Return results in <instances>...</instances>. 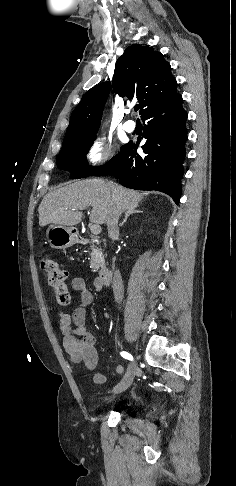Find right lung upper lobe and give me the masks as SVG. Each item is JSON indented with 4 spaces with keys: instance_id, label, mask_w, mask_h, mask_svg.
<instances>
[{
    "instance_id": "right-lung-upper-lobe-1",
    "label": "right lung upper lobe",
    "mask_w": 236,
    "mask_h": 486,
    "mask_svg": "<svg viewBox=\"0 0 236 486\" xmlns=\"http://www.w3.org/2000/svg\"><path fill=\"white\" fill-rule=\"evenodd\" d=\"M113 88L119 96H137L140 114L152 104L177 93V82L171 67L160 52L148 46H129L115 65ZM110 83H101L88 90L74 109L63 144L97 132Z\"/></svg>"
}]
</instances>
